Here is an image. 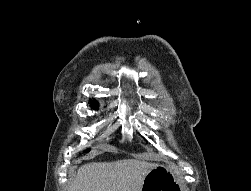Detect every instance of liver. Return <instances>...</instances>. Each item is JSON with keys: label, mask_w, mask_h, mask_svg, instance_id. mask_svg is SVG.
Masks as SVG:
<instances>
[{"label": "liver", "mask_w": 251, "mask_h": 191, "mask_svg": "<svg viewBox=\"0 0 251 191\" xmlns=\"http://www.w3.org/2000/svg\"><path fill=\"white\" fill-rule=\"evenodd\" d=\"M155 165L145 159L92 161L79 167L69 191H142L144 177Z\"/></svg>", "instance_id": "obj_1"}]
</instances>
